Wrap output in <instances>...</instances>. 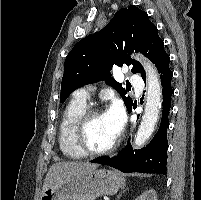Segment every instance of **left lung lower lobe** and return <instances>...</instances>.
I'll use <instances>...</instances> for the list:
<instances>
[{
	"mask_svg": "<svg viewBox=\"0 0 201 200\" xmlns=\"http://www.w3.org/2000/svg\"><path fill=\"white\" fill-rule=\"evenodd\" d=\"M170 58L165 52L156 62V67L160 74L163 92V112L158 132L153 140L144 148L133 150L130 140L126 147L114 157H100L92 160V163L109 165L124 173H152L166 174L167 168V128L168 113L171 107V87L172 71L169 68ZM146 81V75L142 77ZM130 109L129 113L131 112Z\"/></svg>",
	"mask_w": 201,
	"mask_h": 200,
	"instance_id": "0a47b994",
	"label": "left lung lower lobe"
}]
</instances>
